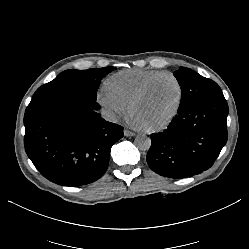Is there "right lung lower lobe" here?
Here are the masks:
<instances>
[{
	"label": "right lung lower lobe",
	"instance_id": "98d812e1",
	"mask_svg": "<svg viewBox=\"0 0 249 249\" xmlns=\"http://www.w3.org/2000/svg\"><path fill=\"white\" fill-rule=\"evenodd\" d=\"M96 101L78 92L33 97L24 115L28 157L48 180L64 186L86 185L106 171L110 150L123 127L105 121Z\"/></svg>",
	"mask_w": 249,
	"mask_h": 249
}]
</instances>
